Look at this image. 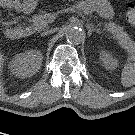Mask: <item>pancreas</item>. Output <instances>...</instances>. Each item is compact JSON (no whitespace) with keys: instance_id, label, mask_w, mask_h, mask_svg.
Wrapping results in <instances>:
<instances>
[{"instance_id":"cf45deb5","label":"pancreas","mask_w":135,"mask_h":135,"mask_svg":"<svg viewBox=\"0 0 135 135\" xmlns=\"http://www.w3.org/2000/svg\"><path fill=\"white\" fill-rule=\"evenodd\" d=\"M89 12V11H87ZM53 14L44 13L35 15L32 17V28L34 31H39L45 29L51 22L50 17ZM107 31L112 33L117 39L119 44L127 50L129 54H135V43L130 39V36L124 31L123 27L118 26L114 22H109L105 24Z\"/></svg>"}]
</instances>
